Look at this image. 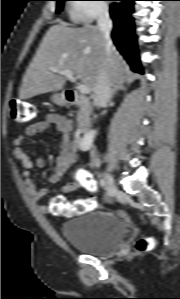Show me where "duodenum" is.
I'll use <instances>...</instances> for the list:
<instances>
[{"label": "duodenum", "mask_w": 180, "mask_h": 299, "mask_svg": "<svg viewBox=\"0 0 180 299\" xmlns=\"http://www.w3.org/2000/svg\"><path fill=\"white\" fill-rule=\"evenodd\" d=\"M65 98L66 101L71 105H77L81 107L82 110V118L79 121V128L83 133H86L91 128V102L90 99L85 96L81 95L73 90H66L65 91Z\"/></svg>", "instance_id": "duodenum-1"}]
</instances>
